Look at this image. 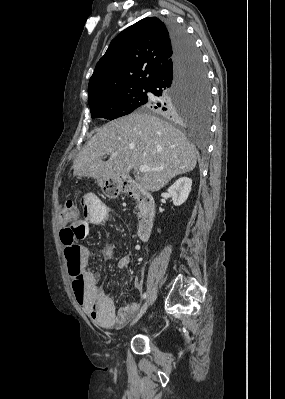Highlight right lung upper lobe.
<instances>
[{"label": "right lung upper lobe", "instance_id": "cb5924a9", "mask_svg": "<svg viewBox=\"0 0 285 399\" xmlns=\"http://www.w3.org/2000/svg\"><path fill=\"white\" fill-rule=\"evenodd\" d=\"M167 25L156 17L128 27L110 43L90 78L88 101L120 91L150 87L173 56Z\"/></svg>", "mask_w": 285, "mask_h": 399}]
</instances>
